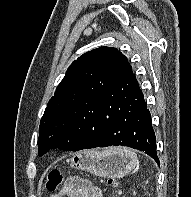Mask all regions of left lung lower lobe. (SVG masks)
Listing matches in <instances>:
<instances>
[{
    "instance_id": "left-lung-lower-lobe-1",
    "label": "left lung lower lobe",
    "mask_w": 191,
    "mask_h": 197,
    "mask_svg": "<svg viewBox=\"0 0 191 197\" xmlns=\"http://www.w3.org/2000/svg\"><path fill=\"white\" fill-rule=\"evenodd\" d=\"M64 135L71 151L122 145L145 152L159 164L151 115L135 76L96 97Z\"/></svg>"
}]
</instances>
